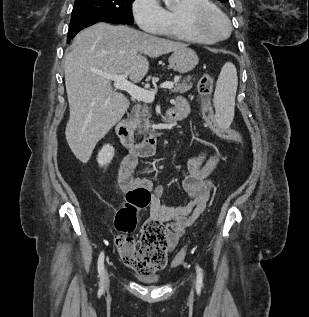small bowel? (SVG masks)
I'll use <instances>...</instances> for the list:
<instances>
[{"mask_svg": "<svg viewBox=\"0 0 309 317\" xmlns=\"http://www.w3.org/2000/svg\"><path fill=\"white\" fill-rule=\"evenodd\" d=\"M175 120L185 118L189 111V104L183 98H177L173 107ZM219 161L218 154L208 156L201 152L192 156L188 161V174L184 177L182 187L188 201L177 206L162 204L165 193L163 186H155L145 177L133 175L138 158L127 155L121 162L118 173V186L122 193L135 189H145L150 195V217L167 224V240L169 250H173L183 236L185 229L192 225L205 211L214 182L211 174Z\"/></svg>", "mask_w": 309, "mask_h": 317, "instance_id": "c3829d8e", "label": "small bowel"}]
</instances>
